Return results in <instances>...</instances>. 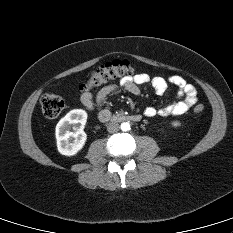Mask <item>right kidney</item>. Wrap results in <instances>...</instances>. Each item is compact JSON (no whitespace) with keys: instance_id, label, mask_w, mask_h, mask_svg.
Instances as JSON below:
<instances>
[{"instance_id":"ca27d5eb","label":"right kidney","mask_w":233,"mask_h":233,"mask_svg":"<svg viewBox=\"0 0 233 233\" xmlns=\"http://www.w3.org/2000/svg\"><path fill=\"white\" fill-rule=\"evenodd\" d=\"M86 121V111L73 109L58 122L55 135L58 151L62 155L73 156L83 148L87 140L84 132Z\"/></svg>"}]
</instances>
